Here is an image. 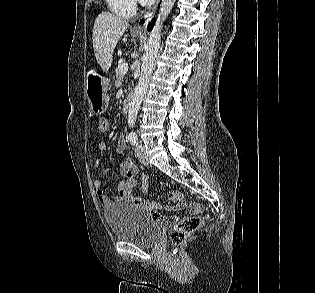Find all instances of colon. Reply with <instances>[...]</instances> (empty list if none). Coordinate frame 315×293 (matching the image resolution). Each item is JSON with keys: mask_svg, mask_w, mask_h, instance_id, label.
I'll return each mask as SVG.
<instances>
[{"mask_svg": "<svg viewBox=\"0 0 315 293\" xmlns=\"http://www.w3.org/2000/svg\"><path fill=\"white\" fill-rule=\"evenodd\" d=\"M109 128V122L105 118H101L98 123V129L101 133H105ZM169 199L177 205H181L183 196L178 191H173L169 194ZM193 213H199L201 211L200 204H193L191 206ZM204 219L198 216H190L183 218L176 222L170 229V240L174 246L173 256L177 257L180 252V248L187 241L188 237L197 231L203 224Z\"/></svg>", "mask_w": 315, "mask_h": 293, "instance_id": "1", "label": "colon"}]
</instances>
